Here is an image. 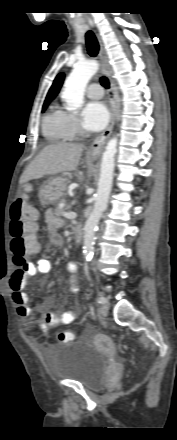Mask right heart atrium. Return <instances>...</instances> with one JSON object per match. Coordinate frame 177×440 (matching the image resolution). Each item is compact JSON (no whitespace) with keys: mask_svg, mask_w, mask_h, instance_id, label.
I'll list each match as a JSON object with an SVG mask.
<instances>
[{"mask_svg":"<svg viewBox=\"0 0 177 440\" xmlns=\"http://www.w3.org/2000/svg\"><path fill=\"white\" fill-rule=\"evenodd\" d=\"M64 115V125L67 134L70 137H74L81 133V127L79 120L76 115L68 112H63Z\"/></svg>","mask_w":177,"mask_h":440,"instance_id":"right-heart-atrium-1","label":"right heart atrium"}]
</instances>
